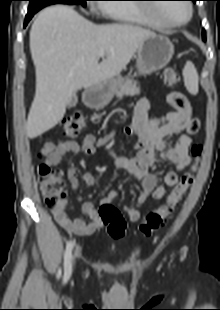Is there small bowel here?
I'll use <instances>...</instances> for the list:
<instances>
[{
	"mask_svg": "<svg viewBox=\"0 0 220 310\" xmlns=\"http://www.w3.org/2000/svg\"><path fill=\"white\" fill-rule=\"evenodd\" d=\"M166 102L173 110L161 116L150 118L148 115L151 102L142 98L136 108L131 125L124 129L125 134L136 139L138 153L136 157L117 155L112 149L113 134L98 138L95 135H87L80 143L73 140H61L57 143L46 142L40 150L44 157V164L56 166L66 154H78L80 152L91 155L97 147L108 149L115 167L126 172L142 183V191L136 199L133 207H125L124 211L131 222L140 219V207L152 196L154 199H162L167 188L177 184L179 175L191 162L190 147L192 138L190 134L199 128V120L193 115L190 102L185 94L172 91L166 97ZM177 135L172 145H167L164 138ZM161 158L175 166L173 171L165 174L163 183L158 185L157 176L150 172V167ZM67 177L71 189H77L82 180L88 186H94L96 177L91 173H83L78 176L75 167L67 169ZM118 197L116 191H111L105 198L106 202H115ZM68 202L62 199L60 204L53 209L56 221L69 233L78 236H90L102 228L103 224L93 202L83 203L81 210L86 219H72L67 214Z\"/></svg>",
	"mask_w": 220,
	"mask_h": 310,
	"instance_id": "small-bowel-1",
	"label": "small bowel"
}]
</instances>
